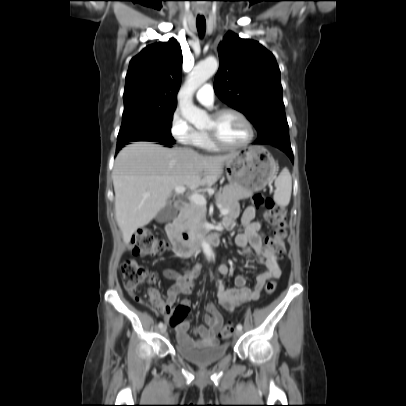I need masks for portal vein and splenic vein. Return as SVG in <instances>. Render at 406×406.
I'll return each instance as SVG.
<instances>
[{
	"label": "portal vein and splenic vein",
	"instance_id": "portal-vein-and-splenic-vein-1",
	"mask_svg": "<svg viewBox=\"0 0 406 406\" xmlns=\"http://www.w3.org/2000/svg\"><path fill=\"white\" fill-rule=\"evenodd\" d=\"M175 192L180 194L185 192L186 188L184 186H177L174 188ZM192 202H194L195 204L204 206L206 204V199L204 198V196L200 195V194H192L188 197ZM217 207L220 209V213L221 214H228L229 210L228 209H224L222 208V206L220 204H217Z\"/></svg>",
	"mask_w": 406,
	"mask_h": 406
}]
</instances>
